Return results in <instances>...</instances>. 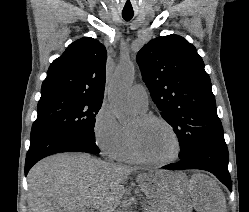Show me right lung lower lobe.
Masks as SVG:
<instances>
[{"label": "right lung lower lobe", "instance_id": "1", "mask_svg": "<svg viewBox=\"0 0 249 212\" xmlns=\"http://www.w3.org/2000/svg\"><path fill=\"white\" fill-rule=\"evenodd\" d=\"M60 152L99 153V149L95 142L72 132L56 131L37 135L31 138L25 161V175L42 158Z\"/></svg>", "mask_w": 249, "mask_h": 212}]
</instances>
